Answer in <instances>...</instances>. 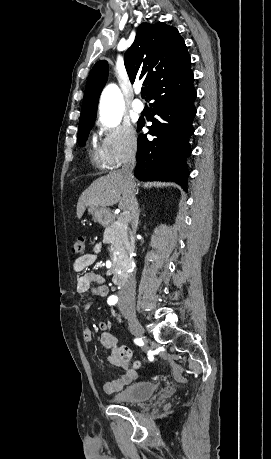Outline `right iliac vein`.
I'll return each mask as SVG.
<instances>
[{
    "label": "right iliac vein",
    "instance_id": "right-iliac-vein-1",
    "mask_svg": "<svg viewBox=\"0 0 271 459\" xmlns=\"http://www.w3.org/2000/svg\"><path fill=\"white\" fill-rule=\"evenodd\" d=\"M122 313L126 316L129 326L133 333L136 336L142 337L143 336V327L141 326L140 322L136 318L135 313L128 308H121Z\"/></svg>",
    "mask_w": 271,
    "mask_h": 459
}]
</instances>
